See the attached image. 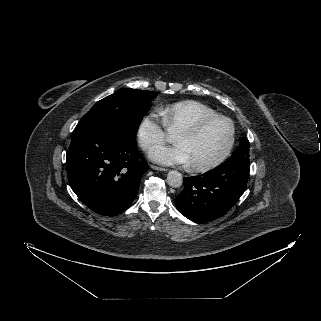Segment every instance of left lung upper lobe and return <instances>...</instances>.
<instances>
[{
  "label": "left lung upper lobe",
  "instance_id": "left-lung-upper-lobe-1",
  "mask_svg": "<svg viewBox=\"0 0 321 321\" xmlns=\"http://www.w3.org/2000/svg\"><path fill=\"white\" fill-rule=\"evenodd\" d=\"M232 155H242L249 157V141L242 140L239 147Z\"/></svg>",
  "mask_w": 321,
  "mask_h": 321
}]
</instances>
